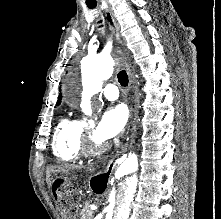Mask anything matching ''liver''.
<instances>
[{
    "label": "liver",
    "instance_id": "6515ba94",
    "mask_svg": "<svg viewBox=\"0 0 221 219\" xmlns=\"http://www.w3.org/2000/svg\"><path fill=\"white\" fill-rule=\"evenodd\" d=\"M78 168H80V167L77 165H69V164H65V165H61V166H51V167L47 168L46 180H47L48 185L49 186L51 185L50 177H51L52 173L53 174L54 173H63V172H68L70 170H75Z\"/></svg>",
    "mask_w": 221,
    "mask_h": 219
}]
</instances>
